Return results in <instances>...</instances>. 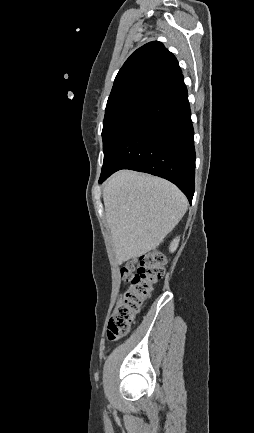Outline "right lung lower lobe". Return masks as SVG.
I'll use <instances>...</instances> for the list:
<instances>
[{"label":"right lung lower lobe","mask_w":254,"mask_h":433,"mask_svg":"<svg viewBox=\"0 0 254 433\" xmlns=\"http://www.w3.org/2000/svg\"><path fill=\"white\" fill-rule=\"evenodd\" d=\"M194 130L183 75L163 86L122 129L100 175L102 183L120 169L150 173L174 183L192 202Z\"/></svg>","instance_id":"98d812e1"}]
</instances>
